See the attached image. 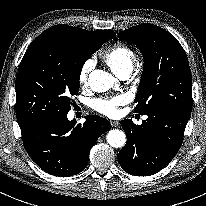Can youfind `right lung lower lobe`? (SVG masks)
<instances>
[{"mask_svg": "<svg viewBox=\"0 0 206 206\" xmlns=\"http://www.w3.org/2000/svg\"><path fill=\"white\" fill-rule=\"evenodd\" d=\"M67 116L20 128L24 147L32 160L45 172L72 176L82 172L90 149L111 124L108 120L88 115L83 125H75Z\"/></svg>", "mask_w": 206, "mask_h": 206, "instance_id": "1", "label": "right lung lower lobe"}]
</instances>
